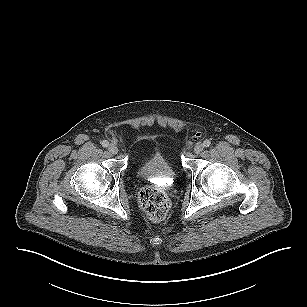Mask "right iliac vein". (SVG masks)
Masks as SVG:
<instances>
[{"label": "right iliac vein", "mask_w": 307, "mask_h": 307, "mask_svg": "<svg viewBox=\"0 0 307 307\" xmlns=\"http://www.w3.org/2000/svg\"><path fill=\"white\" fill-rule=\"evenodd\" d=\"M108 151L111 154H117L118 153V147L115 144H110L108 147Z\"/></svg>", "instance_id": "right-iliac-vein-1"}]
</instances>
